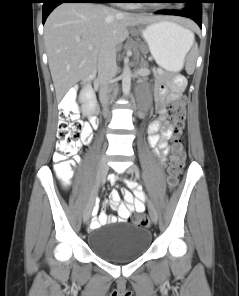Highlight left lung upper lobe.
<instances>
[{"label": "left lung upper lobe", "instance_id": "1", "mask_svg": "<svg viewBox=\"0 0 239 296\" xmlns=\"http://www.w3.org/2000/svg\"><path fill=\"white\" fill-rule=\"evenodd\" d=\"M182 1V0H179ZM188 1H195L199 4L200 7H202V0H188Z\"/></svg>", "mask_w": 239, "mask_h": 296}]
</instances>
